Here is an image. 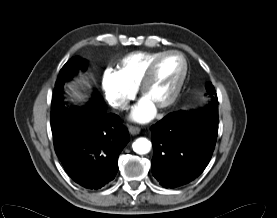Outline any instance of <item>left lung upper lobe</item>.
I'll return each instance as SVG.
<instances>
[{
  "label": "left lung upper lobe",
  "mask_w": 277,
  "mask_h": 218,
  "mask_svg": "<svg viewBox=\"0 0 277 218\" xmlns=\"http://www.w3.org/2000/svg\"><path fill=\"white\" fill-rule=\"evenodd\" d=\"M205 87H206L207 93L211 97V102L218 103L217 94H216V91L214 89V86L210 82H208V83H206Z\"/></svg>",
  "instance_id": "obj_1"
}]
</instances>
